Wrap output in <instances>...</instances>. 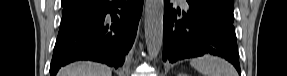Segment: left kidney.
<instances>
[{"label": "left kidney", "mask_w": 287, "mask_h": 76, "mask_svg": "<svg viewBox=\"0 0 287 76\" xmlns=\"http://www.w3.org/2000/svg\"><path fill=\"white\" fill-rule=\"evenodd\" d=\"M179 76H187L186 74H179Z\"/></svg>", "instance_id": "5707ae66"}]
</instances>
